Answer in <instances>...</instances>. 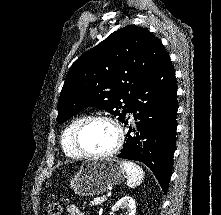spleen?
Returning a JSON list of instances; mask_svg holds the SVG:
<instances>
[{
	"label": "spleen",
	"instance_id": "obj_1",
	"mask_svg": "<svg viewBox=\"0 0 221 215\" xmlns=\"http://www.w3.org/2000/svg\"><path fill=\"white\" fill-rule=\"evenodd\" d=\"M121 164L128 175L127 186L134 188L139 185L144 178V172L142 168L135 163L126 160H123Z\"/></svg>",
	"mask_w": 221,
	"mask_h": 215
}]
</instances>
